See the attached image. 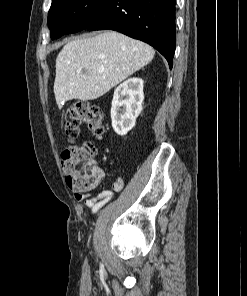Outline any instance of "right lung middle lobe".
<instances>
[{
  "instance_id": "obj_1",
  "label": "right lung middle lobe",
  "mask_w": 247,
  "mask_h": 296,
  "mask_svg": "<svg viewBox=\"0 0 247 296\" xmlns=\"http://www.w3.org/2000/svg\"><path fill=\"white\" fill-rule=\"evenodd\" d=\"M103 0H52L48 13L51 38H59L86 28Z\"/></svg>"
}]
</instances>
